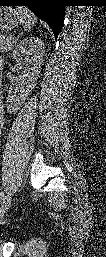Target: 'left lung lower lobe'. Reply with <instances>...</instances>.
<instances>
[{"label":"left lung lower lobe","instance_id":"0a47b994","mask_svg":"<svg viewBox=\"0 0 106 257\" xmlns=\"http://www.w3.org/2000/svg\"><path fill=\"white\" fill-rule=\"evenodd\" d=\"M0 4L27 6L39 19L49 25L55 38L58 37L65 14V5L62 0H0Z\"/></svg>","mask_w":106,"mask_h":257}]
</instances>
